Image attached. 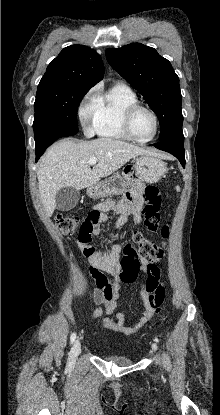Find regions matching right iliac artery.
I'll return each instance as SVG.
<instances>
[{
    "instance_id": "82829eb1",
    "label": "right iliac artery",
    "mask_w": 220,
    "mask_h": 415,
    "mask_svg": "<svg viewBox=\"0 0 220 415\" xmlns=\"http://www.w3.org/2000/svg\"><path fill=\"white\" fill-rule=\"evenodd\" d=\"M75 339H76V333H72V335L70 337L71 344L75 341Z\"/></svg>"
}]
</instances>
